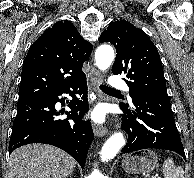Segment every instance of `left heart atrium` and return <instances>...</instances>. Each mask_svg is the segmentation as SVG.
<instances>
[{"mask_svg":"<svg viewBox=\"0 0 194 178\" xmlns=\"http://www.w3.org/2000/svg\"><path fill=\"white\" fill-rule=\"evenodd\" d=\"M91 118L95 122H99V123L103 122L105 120V112H104V110L101 109V108L95 109L91 113Z\"/></svg>","mask_w":194,"mask_h":178,"instance_id":"left-heart-atrium-1","label":"left heart atrium"}]
</instances>
